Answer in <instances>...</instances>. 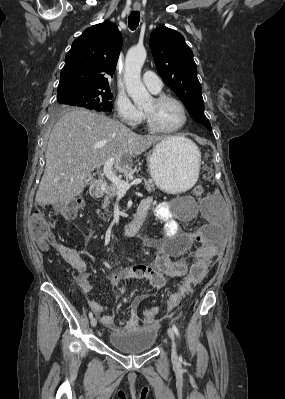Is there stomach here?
<instances>
[{"label": "stomach", "mask_w": 285, "mask_h": 399, "mask_svg": "<svg viewBox=\"0 0 285 399\" xmlns=\"http://www.w3.org/2000/svg\"><path fill=\"white\" fill-rule=\"evenodd\" d=\"M201 153L191 140L174 137L159 142L147 156L150 175L162 191L179 194L197 181Z\"/></svg>", "instance_id": "1"}]
</instances>
